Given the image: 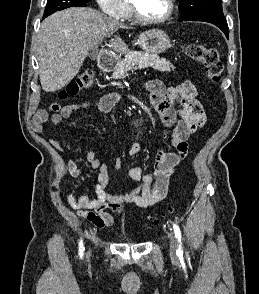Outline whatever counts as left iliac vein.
Here are the masks:
<instances>
[{
    "mask_svg": "<svg viewBox=\"0 0 259 294\" xmlns=\"http://www.w3.org/2000/svg\"><path fill=\"white\" fill-rule=\"evenodd\" d=\"M169 238H170V253L172 255H176L177 241H176V238H175L173 232L169 233Z\"/></svg>",
    "mask_w": 259,
    "mask_h": 294,
    "instance_id": "obj_1",
    "label": "left iliac vein"
}]
</instances>
